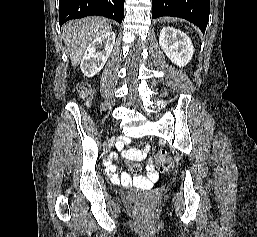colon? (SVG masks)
Wrapping results in <instances>:
<instances>
[{
    "label": "colon",
    "instance_id": "colon-1",
    "mask_svg": "<svg viewBox=\"0 0 257 237\" xmlns=\"http://www.w3.org/2000/svg\"><path fill=\"white\" fill-rule=\"evenodd\" d=\"M78 92L82 94L83 97H88V88L84 84H80L78 86ZM157 163L160 170L165 171L168 170L172 165V159L171 157L166 153H159L157 155ZM131 169L134 173H138L140 171V166L136 163L131 165ZM139 213L140 215L145 219H150L152 217V211L151 209L145 205L142 204L139 207Z\"/></svg>",
    "mask_w": 257,
    "mask_h": 237
}]
</instances>
